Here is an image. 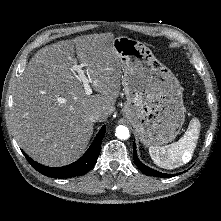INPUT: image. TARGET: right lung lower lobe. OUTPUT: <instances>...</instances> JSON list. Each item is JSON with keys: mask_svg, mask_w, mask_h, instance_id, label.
I'll return each mask as SVG.
<instances>
[{"mask_svg": "<svg viewBox=\"0 0 221 221\" xmlns=\"http://www.w3.org/2000/svg\"><path fill=\"white\" fill-rule=\"evenodd\" d=\"M105 130L106 128L105 126H103L100 129L99 133L97 134L96 138L94 139L93 143L89 147V149L80 159L64 167L54 168V167H47V166L41 165L35 162L34 160H32L25 152L23 151L22 152L25 155L28 162L30 163V165L35 170H37L38 172L48 177L61 179V178H71V177L84 175L90 169H92L93 166L97 162V158L99 156L100 147H101V141L105 134Z\"/></svg>", "mask_w": 221, "mask_h": 221, "instance_id": "1", "label": "right lung lower lobe"}]
</instances>
